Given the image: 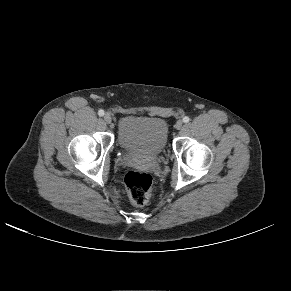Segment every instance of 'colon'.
Masks as SVG:
<instances>
[{
    "label": "colon",
    "instance_id": "1",
    "mask_svg": "<svg viewBox=\"0 0 291 291\" xmlns=\"http://www.w3.org/2000/svg\"><path fill=\"white\" fill-rule=\"evenodd\" d=\"M124 182L133 204L141 206L147 203L151 193L152 177L148 173L129 171Z\"/></svg>",
    "mask_w": 291,
    "mask_h": 291
}]
</instances>
